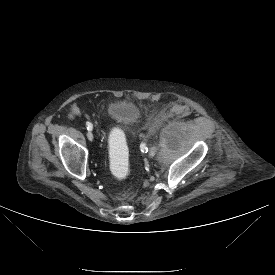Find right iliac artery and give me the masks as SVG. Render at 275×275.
I'll list each match as a JSON object with an SVG mask.
<instances>
[{
    "label": "right iliac artery",
    "mask_w": 275,
    "mask_h": 275,
    "mask_svg": "<svg viewBox=\"0 0 275 275\" xmlns=\"http://www.w3.org/2000/svg\"><path fill=\"white\" fill-rule=\"evenodd\" d=\"M86 126H87V130H88V131H92L93 126H92V124H91L90 122H87V123H86Z\"/></svg>",
    "instance_id": "1"
}]
</instances>
